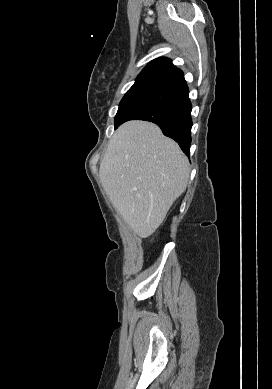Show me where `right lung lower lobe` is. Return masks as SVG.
<instances>
[{
	"label": "right lung lower lobe",
	"mask_w": 272,
	"mask_h": 389,
	"mask_svg": "<svg viewBox=\"0 0 272 389\" xmlns=\"http://www.w3.org/2000/svg\"><path fill=\"white\" fill-rule=\"evenodd\" d=\"M191 110L189 89L184 78H181L163 86L132 108L122 119L120 125L134 119L153 122L162 129L165 136L173 138L183 152L189 156Z\"/></svg>",
	"instance_id": "98d812e1"
}]
</instances>
